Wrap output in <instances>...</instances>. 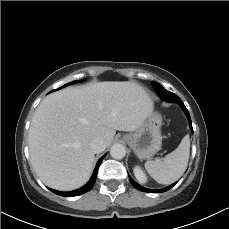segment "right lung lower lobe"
Instances as JSON below:
<instances>
[{"instance_id":"obj_1","label":"right lung lower lobe","mask_w":229,"mask_h":229,"mask_svg":"<svg viewBox=\"0 0 229 229\" xmlns=\"http://www.w3.org/2000/svg\"><path fill=\"white\" fill-rule=\"evenodd\" d=\"M103 158L104 157H102L98 161V163H97V165H96V167L94 169V172H93V175H92L90 181L85 186H83L82 188L77 189V190H74V191H71V192H60V191H56V190H53V189H50V190L53 193L57 194V195H60V196H70V197H74L76 195H81V194H84V193L88 192L93 187V185H94V183L96 181L98 168H99L100 163L102 162Z\"/></svg>"}]
</instances>
